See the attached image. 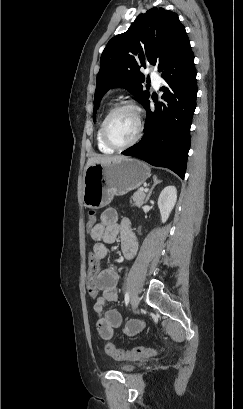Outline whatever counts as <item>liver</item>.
Instances as JSON below:
<instances>
[{"mask_svg": "<svg viewBox=\"0 0 243 409\" xmlns=\"http://www.w3.org/2000/svg\"><path fill=\"white\" fill-rule=\"evenodd\" d=\"M124 158V156H95L87 161L86 168L96 163H109Z\"/></svg>", "mask_w": 243, "mask_h": 409, "instance_id": "obj_1", "label": "liver"}]
</instances>
